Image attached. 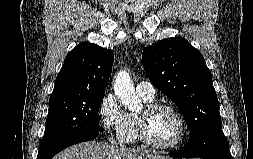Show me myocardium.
<instances>
[{"label": "myocardium", "instance_id": "f54148a6", "mask_svg": "<svg viewBox=\"0 0 253 159\" xmlns=\"http://www.w3.org/2000/svg\"><path fill=\"white\" fill-rule=\"evenodd\" d=\"M160 109H167L171 111L177 117L180 124V133L176 140L170 144L156 143L151 139L149 135L148 119L152 113ZM137 131L139 141L142 142L145 146L152 147L161 151H167L179 147L184 142L187 135L188 126L183 115L175 106L164 102H151L147 103L143 109V112L137 115Z\"/></svg>", "mask_w": 253, "mask_h": 159}]
</instances>
